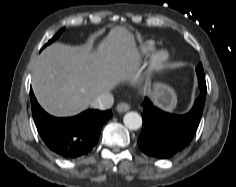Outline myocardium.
<instances>
[{
    "label": "myocardium",
    "instance_id": "f54148a6",
    "mask_svg": "<svg viewBox=\"0 0 236 187\" xmlns=\"http://www.w3.org/2000/svg\"><path fill=\"white\" fill-rule=\"evenodd\" d=\"M169 60V53L166 50H160L154 53L149 63L148 72L150 75H154L159 72Z\"/></svg>",
    "mask_w": 236,
    "mask_h": 187
}]
</instances>
